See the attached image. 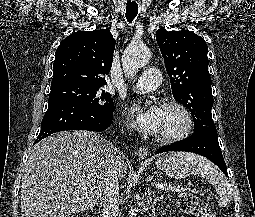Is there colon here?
Here are the masks:
<instances>
[{"mask_svg": "<svg viewBox=\"0 0 255 217\" xmlns=\"http://www.w3.org/2000/svg\"><path fill=\"white\" fill-rule=\"evenodd\" d=\"M178 205L182 211L191 217H213L206 202L192 193H181L178 196Z\"/></svg>", "mask_w": 255, "mask_h": 217, "instance_id": "1", "label": "colon"}]
</instances>
